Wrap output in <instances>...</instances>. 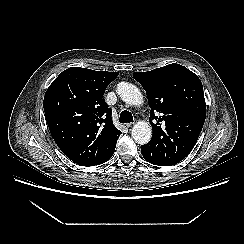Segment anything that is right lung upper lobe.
<instances>
[{
	"instance_id": "obj_1",
	"label": "right lung upper lobe",
	"mask_w": 244,
	"mask_h": 244,
	"mask_svg": "<svg viewBox=\"0 0 244 244\" xmlns=\"http://www.w3.org/2000/svg\"><path fill=\"white\" fill-rule=\"evenodd\" d=\"M118 72L71 67L47 89L44 112L61 151L81 166L105 163L115 151L121 131L112 123L102 96Z\"/></svg>"
}]
</instances>
